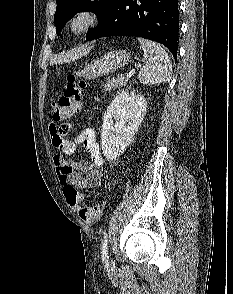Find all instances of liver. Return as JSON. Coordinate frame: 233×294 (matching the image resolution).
Masks as SVG:
<instances>
[{
    "instance_id": "obj_1",
    "label": "liver",
    "mask_w": 233,
    "mask_h": 294,
    "mask_svg": "<svg viewBox=\"0 0 233 294\" xmlns=\"http://www.w3.org/2000/svg\"><path fill=\"white\" fill-rule=\"evenodd\" d=\"M87 53V50H78L76 52H73V53H68L66 55H63L61 57H58L57 59L53 60L52 61V64H57V63H60V62H69L71 60H74L75 58L79 57V56H82L84 54Z\"/></svg>"
}]
</instances>
